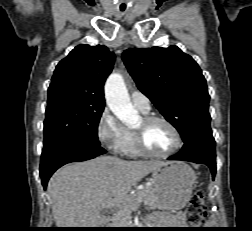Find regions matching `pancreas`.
<instances>
[{
  "label": "pancreas",
  "mask_w": 252,
  "mask_h": 231,
  "mask_svg": "<svg viewBox=\"0 0 252 231\" xmlns=\"http://www.w3.org/2000/svg\"><path fill=\"white\" fill-rule=\"evenodd\" d=\"M131 198L132 202L120 206L122 208L119 209L118 213L114 218V223L118 227L124 228L130 224L131 212L135 204L143 202L150 208H155L156 196L154 193V188L151 186L143 188L136 194V196H132Z\"/></svg>",
  "instance_id": "pancreas-1"
}]
</instances>
